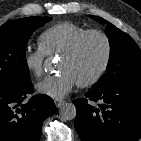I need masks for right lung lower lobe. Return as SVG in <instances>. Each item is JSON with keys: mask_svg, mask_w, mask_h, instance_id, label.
Returning <instances> with one entry per match:
<instances>
[{"mask_svg": "<svg viewBox=\"0 0 141 141\" xmlns=\"http://www.w3.org/2000/svg\"><path fill=\"white\" fill-rule=\"evenodd\" d=\"M32 93L31 81L0 85V141H39L43 121L56 111L51 97Z\"/></svg>", "mask_w": 141, "mask_h": 141, "instance_id": "right-lung-lower-lobe-1", "label": "right lung lower lobe"}]
</instances>
